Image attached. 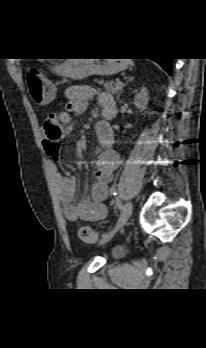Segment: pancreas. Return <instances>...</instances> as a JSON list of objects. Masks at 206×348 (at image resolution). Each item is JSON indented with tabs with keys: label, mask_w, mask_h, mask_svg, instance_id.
Listing matches in <instances>:
<instances>
[{
	"label": "pancreas",
	"mask_w": 206,
	"mask_h": 348,
	"mask_svg": "<svg viewBox=\"0 0 206 348\" xmlns=\"http://www.w3.org/2000/svg\"><path fill=\"white\" fill-rule=\"evenodd\" d=\"M96 83L103 85L107 92H110L111 94H119L120 88L114 86L112 82H104L103 80H94Z\"/></svg>",
	"instance_id": "cf45deb5"
}]
</instances>
